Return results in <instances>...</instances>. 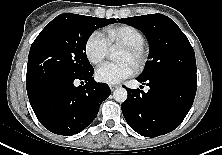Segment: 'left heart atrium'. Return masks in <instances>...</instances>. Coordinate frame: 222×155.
Listing matches in <instances>:
<instances>
[{"label": "left heart atrium", "mask_w": 222, "mask_h": 155, "mask_svg": "<svg viewBox=\"0 0 222 155\" xmlns=\"http://www.w3.org/2000/svg\"><path fill=\"white\" fill-rule=\"evenodd\" d=\"M135 72V67L127 61L118 63L107 62L101 65L96 71L98 81L107 84H117L124 79L132 76Z\"/></svg>", "instance_id": "left-heart-atrium-1"}]
</instances>
